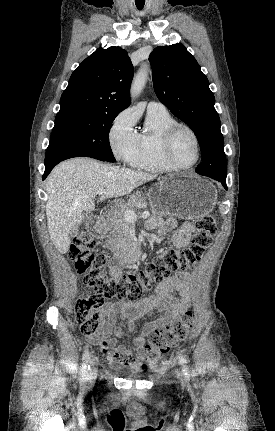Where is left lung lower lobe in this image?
I'll list each match as a JSON object with an SVG mask.
<instances>
[{
  "mask_svg": "<svg viewBox=\"0 0 275 431\" xmlns=\"http://www.w3.org/2000/svg\"><path fill=\"white\" fill-rule=\"evenodd\" d=\"M201 175L211 177V178H213V179L221 182L222 185L224 186V188L227 189V186H226V174H220V173H203Z\"/></svg>",
  "mask_w": 275,
  "mask_h": 431,
  "instance_id": "left-lung-lower-lobe-1",
  "label": "left lung lower lobe"
}]
</instances>
